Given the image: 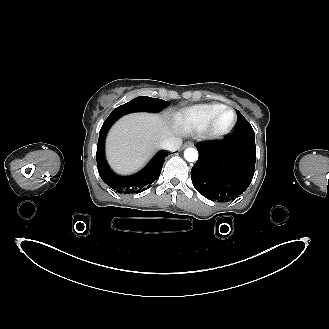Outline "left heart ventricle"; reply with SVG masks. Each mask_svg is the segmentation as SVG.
I'll use <instances>...</instances> for the list:
<instances>
[{"mask_svg":"<svg viewBox=\"0 0 329 329\" xmlns=\"http://www.w3.org/2000/svg\"><path fill=\"white\" fill-rule=\"evenodd\" d=\"M233 114L230 111L222 113L217 121V127L220 129H225L231 125L233 122Z\"/></svg>","mask_w":329,"mask_h":329,"instance_id":"1","label":"left heart ventricle"}]
</instances>
